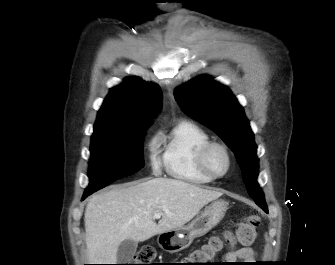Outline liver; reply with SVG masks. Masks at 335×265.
<instances>
[{
	"label": "liver",
	"mask_w": 335,
	"mask_h": 265,
	"mask_svg": "<svg viewBox=\"0 0 335 265\" xmlns=\"http://www.w3.org/2000/svg\"><path fill=\"white\" fill-rule=\"evenodd\" d=\"M222 192L175 179L136 181L92 196L84 214L90 264H115L119 245L183 227ZM162 218L155 222L154 214Z\"/></svg>",
	"instance_id": "1"
}]
</instances>
